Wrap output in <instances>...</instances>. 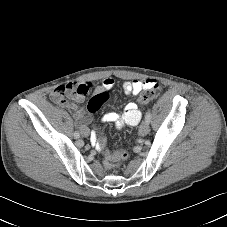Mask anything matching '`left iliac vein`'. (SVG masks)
I'll list each match as a JSON object with an SVG mask.
<instances>
[{
	"instance_id": "1",
	"label": "left iliac vein",
	"mask_w": 227,
	"mask_h": 227,
	"mask_svg": "<svg viewBox=\"0 0 227 227\" xmlns=\"http://www.w3.org/2000/svg\"><path fill=\"white\" fill-rule=\"evenodd\" d=\"M149 131H150L149 123L146 121H143L139 127V134L141 136H145L149 133Z\"/></svg>"
}]
</instances>
